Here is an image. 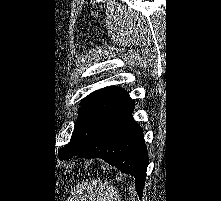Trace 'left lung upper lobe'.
<instances>
[{
  "mask_svg": "<svg viewBox=\"0 0 221 201\" xmlns=\"http://www.w3.org/2000/svg\"><path fill=\"white\" fill-rule=\"evenodd\" d=\"M127 98H129L128 93L115 86L99 89L84 98L71 140L59 151V158L65 160L75 155L89 142L108 112Z\"/></svg>",
  "mask_w": 221,
  "mask_h": 201,
  "instance_id": "obj_1",
  "label": "left lung upper lobe"
}]
</instances>
